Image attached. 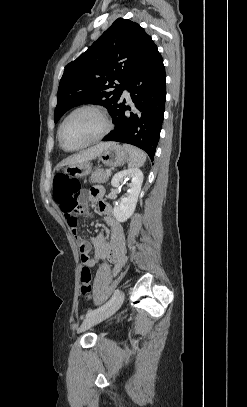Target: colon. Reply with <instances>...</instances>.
I'll return each mask as SVG.
<instances>
[{"mask_svg": "<svg viewBox=\"0 0 247 407\" xmlns=\"http://www.w3.org/2000/svg\"><path fill=\"white\" fill-rule=\"evenodd\" d=\"M81 185L77 179L71 178L66 174H58L53 181V198L57 203L73 199L80 191ZM81 292L90 297L92 287V272L90 267L84 266L80 275Z\"/></svg>", "mask_w": 247, "mask_h": 407, "instance_id": "1", "label": "colon"}]
</instances>
